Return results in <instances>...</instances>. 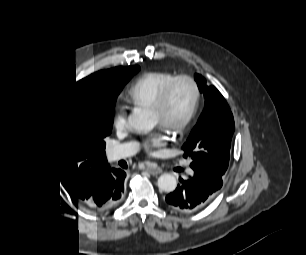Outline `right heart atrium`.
<instances>
[{
  "mask_svg": "<svg viewBox=\"0 0 306 255\" xmlns=\"http://www.w3.org/2000/svg\"><path fill=\"white\" fill-rule=\"evenodd\" d=\"M113 123L116 129L125 130L129 125V120L125 114L117 113L113 118Z\"/></svg>",
  "mask_w": 306,
  "mask_h": 255,
  "instance_id": "d8ad5b80",
  "label": "right heart atrium"
}]
</instances>
